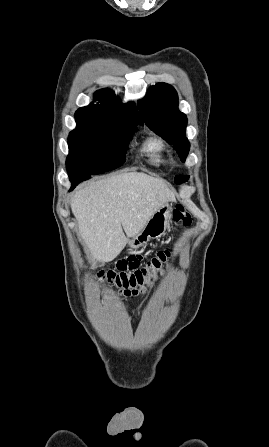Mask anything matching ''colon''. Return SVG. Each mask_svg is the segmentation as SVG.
Segmentation results:
<instances>
[{
    "instance_id": "obj_1",
    "label": "colon",
    "mask_w": 269,
    "mask_h": 447,
    "mask_svg": "<svg viewBox=\"0 0 269 447\" xmlns=\"http://www.w3.org/2000/svg\"><path fill=\"white\" fill-rule=\"evenodd\" d=\"M172 219L174 228L190 224V215L182 206H177L173 210ZM141 260V253H128L127 257H120L116 266L110 267L108 272L96 273L88 281V290H92L97 283H104L107 288L125 298L146 295L167 275L171 264V253L164 250L149 261L141 262Z\"/></svg>"
}]
</instances>
